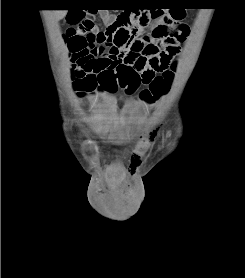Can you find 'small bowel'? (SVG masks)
<instances>
[{
	"mask_svg": "<svg viewBox=\"0 0 245 278\" xmlns=\"http://www.w3.org/2000/svg\"><path fill=\"white\" fill-rule=\"evenodd\" d=\"M164 21L170 20V14H164ZM101 18L105 24H111L116 16L107 10L101 12ZM175 27L184 36H188L189 26L183 22H175ZM95 31L92 34L95 35ZM79 37L86 39L91 33L85 30L76 32ZM164 51L159 55L147 53L146 48L137 52H130L126 48H113L111 46L96 45L98 50H102L101 57L91 56L80 52L77 59L73 60V69H83L86 65H91L87 73L91 79L92 86L87 93L95 95L97 93L114 94L118 88L121 77H128L129 74L142 76L146 72L160 73L171 67V59L176 52L166 50V45H162ZM114 89V90H112Z\"/></svg>",
	"mask_w": 245,
	"mask_h": 278,
	"instance_id": "1",
	"label": "small bowel"
}]
</instances>
